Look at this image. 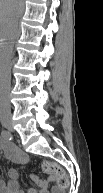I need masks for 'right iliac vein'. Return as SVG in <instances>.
Returning <instances> with one entry per match:
<instances>
[{"mask_svg":"<svg viewBox=\"0 0 103 193\" xmlns=\"http://www.w3.org/2000/svg\"><path fill=\"white\" fill-rule=\"evenodd\" d=\"M3 126L8 130H12V123L10 121H4Z\"/></svg>","mask_w":103,"mask_h":193,"instance_id":"63e3f726","label":"right iliac vein"}]
</instances>
